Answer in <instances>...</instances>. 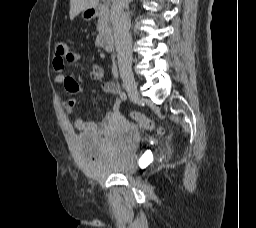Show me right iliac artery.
Wrapping results in <instances>:
<instances>
[{"label": "right iliac artery", "instance_id": "1", "mask_svg": "<svg viewBox=\"0 0 256 228\" xmlns=\"http://www.w3.org/2000/svg\"><path fill=\"white\" fill-rule=\"evenodd\" d=\"M120 98H121L122 100H126V99H127V94H126L125 92H122V93L120 94Z\"/></svg>", "mask_w": 256, "mask_h": 228}]
</instances>
